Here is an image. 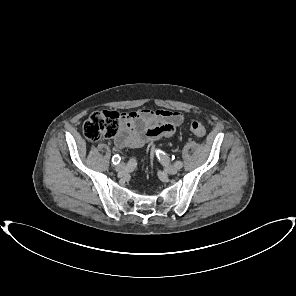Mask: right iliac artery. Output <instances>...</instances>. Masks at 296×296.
Instances as JSON below:
<instances>
[{"mask_svg":"<svg viewBox=\"0 0 296 296\" xmlns=\"http://www.w3.org/2000/svg\"><path fill=\"white\" fill-rule=\"evenodd\" d=\"M120 162V156L119 155H114L112 158V163L114 165L118 164Z\"/></svg>","mask_w":296,"mask_h":296,"instance_id":"right-iliac-artery-1","label":"right iliac artery"}]
</instances>
